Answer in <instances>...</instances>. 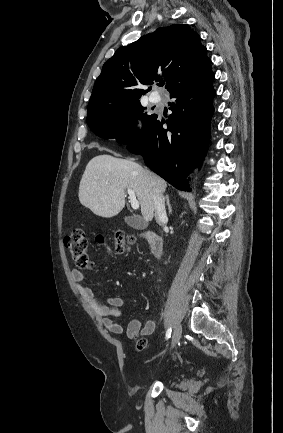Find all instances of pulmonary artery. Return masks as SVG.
<instances>
[{
    "label": "pulmonary artery",
    "instance_id": "1",
    "mask_svg": "<svg viewBox=\"0 0 283 433\" xmlns=\"http://www.w3.org/2000/svg\"><path fill=\"white\" fill-rule=\"evenodd\" d=\"M149 99H150V101L152 102V103H154V104H158L159 102H160V97L159 96H157V95H150L149 96Z\"/></svg>",
    "mask_w": 283,
    "mask_h": 433
}]
</instances>
